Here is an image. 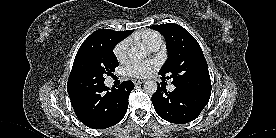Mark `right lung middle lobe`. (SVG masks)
I'll return each mask as SVG.
<instances>
[{"label":"right lung middle lobe","instance_id":"obj_1","mask_svg":"<svg viewBox=\"0 0 276 138\" xmlns=\"http://www.w3.org/2000/svg\"><path fill=\"white\" fill-rule=\"evenodd\" d=\"M117 43L110 34L97 35L83 42L68 79V93L85 91L104 84V76L110 75L118 66L113 53Z\"/></svg>","mask_w":276,"mask_h":138}]
</instances>
